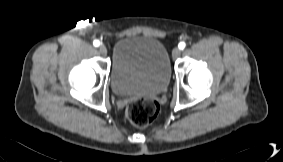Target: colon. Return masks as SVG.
Here are the masks:
<instances>
[{
    "label": "colon",
    "instance_id": "5ec220e1",
    "mask_svg": "<svg viewBox=\"0 0 283 162\" xmlns=\"http://www.w3.org/2000/svg\"><path fill=\"white\" fill-rule=\"evenodd\" d=\"M159 113L158 103L150 98L133 99L126 108V117L134 126L143 128L151 124Z\"/></svg>",
    "mask_w": 283,
    "mask_h": 162
}]
</instances>
